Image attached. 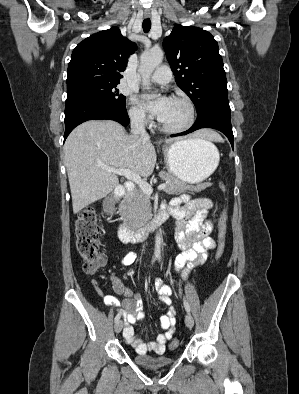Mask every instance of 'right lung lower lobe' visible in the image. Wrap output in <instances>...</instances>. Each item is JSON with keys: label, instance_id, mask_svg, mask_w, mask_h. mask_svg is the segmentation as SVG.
<instances>
[{"label": "right lung lower lobe", "instance_id": "obj_1", "mask_svg": "<svg viewBox=\"0 0 299 394\" xmlns=\"http://www.w3.org/2000/svg\"><path fill=\"white\" fill-rule=\"evenodd\" d=\"M93 119H110L123 126H127L130 122L126 108L117 109L106 101L91 97L67 99L64 140L77 125Z\"/></svg>", "mask_w": 299, "mask_h": 394}]
</instances>
